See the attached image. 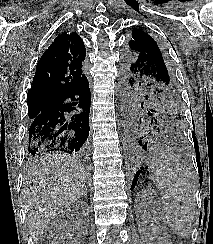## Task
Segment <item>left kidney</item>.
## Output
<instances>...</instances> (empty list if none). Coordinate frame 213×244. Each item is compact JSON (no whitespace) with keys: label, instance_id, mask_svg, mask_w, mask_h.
<instances>
[{"label":"left kidney","instance_id":"1","mask_svg":"<svg viewBox=\"0 0 213 244\" xmlns=\"http://www.w3.org/2000/svg\"><path fill=\"white\" fill-rule=\"evenodd\" d=\"M135 211L138 228L145 236L146 244H171L168 229L159 215L158 202L151 191L142 190L137 195Z\"/></svg>","mask_w":213,"mask_h":244}]
</instances>
